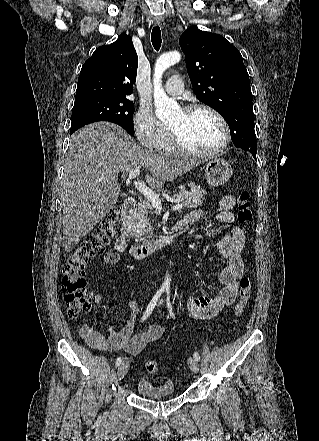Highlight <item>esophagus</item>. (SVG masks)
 Returning a JSON list of instances; mask_svg holds the SVG:
<instances>
[{"mask_svg": "<svg viewBox=\"0 0 319 441\" xmlns=\"http://www.w3.org/2000/svg\"><path fill=\"white\" fill-rule=\"evenodd\" d=\"M154 24H155V26H159L160 28L164 29L165 24H164V21H163L162 18L155 17L154 18Z\"/></svg>", "mask_w": 319, "mask_h": 441, "instance_id": "esophagus-1", "label": "esophagus"}]
</instances>
